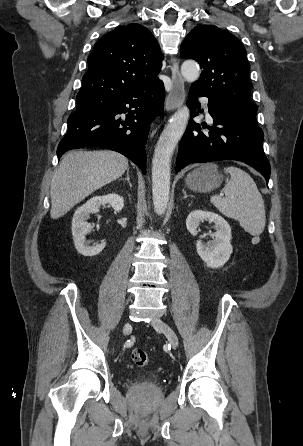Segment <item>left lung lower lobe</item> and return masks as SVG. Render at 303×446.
I'll return each mask as SVG.
<instances>
[{
	"mask_svg": "<svg viewBox=\"0 0 303 446\" xmlns=\"http://www.w3.org/2000/svg\"><path fill=\"white\" fill-rule=\"evenodd\" d=\"M198 96L209 99V113L214 123V126L208 128L210 132L201 131L200 124L192 120L198 115ZM188 105L191 108V122L180 142L176 172L190 163L230 159L245 162L269 181L270 164L263 151L264 135L257 123L226 101L210 97L194 87L190 89ZM202 127L206 128L205 125Z\"/></svg>",
	"mask_w": 303,
	"mask_h": 446,
	"instance_id": "1",
	"label": "left lung lower lobe"
}]
</instances>
